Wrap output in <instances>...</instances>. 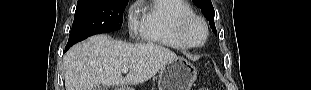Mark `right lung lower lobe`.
<instances>
[{
  "label": "right lung lower lobe",
  "instance_id": "obj_1",
  "mask_svg": "<svg viewBox=\"0 0 311 90\" xmlns=\"http://www.w3.org/2000/svg\"><path fill=\"white\" fill-rule=\"evenodd\" d=\"M69 47H70V46H69V45H67V46H66V48H65V51H67V50L69 49Z\"/></svg>",
  "mask_w": 311,
  "mask_h": 90
}]
</instances>
